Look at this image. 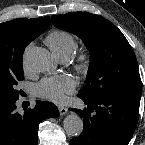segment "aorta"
<instances>
[{
    "label": "aorta",
    "mask_w": 145,
    "mask_h": 145,
    "mask_svg": "<svg viewBox=\"0 0 145 145\" xmlns=\"http://www.w3.org/2000/svg\"><path fill=\"white\" fill-rule=\"evenodd\" d=\"M25 62L32 70L37 72H49L54 67V60L51 53L40 47H35L27 51ZM63 125L69 136L77 137L83 131V121L75 113L67 115Z\"/></svg>",
    "instance_id": "1"
}]
</instances>
